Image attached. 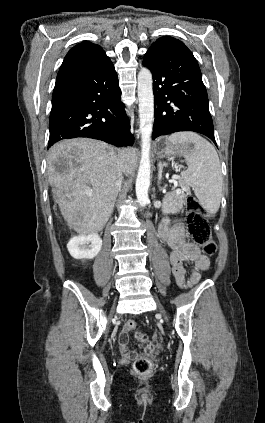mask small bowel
<instances>
[{"label":"small bowel","mask_w":265,"mask_h":423,"mask_svg":"<svg viewBox=\"0 0 265 423\" xmlns=\"http://www.w3.org/2000/svg\"><path fill=\"white\" fill-rule=\"evenodd\" d=\"M158 232L164 246L169 250L172 271L177 284L184 288L195 285L200 280V272L209 269V259L196 245L186 241L185 229L182 224L171 227L170 221L165 219L160 224ZM188 261L194 263V270L191 277L186 280L183 264ZM119 347L124 358L134 357L135 353L129 349V337L126 331H122L119 336Z\"/></svg>","instance_id":"c3829d8e"}]
</instances>
